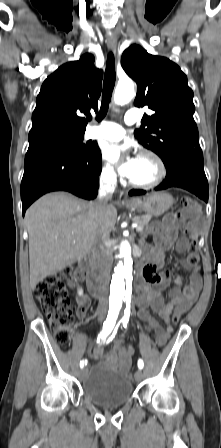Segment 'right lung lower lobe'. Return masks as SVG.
Returning a JSON list of instances; mask_svg holds the SVG:
<instances>
[{
    "label": "right lung lower lobe",
    "mask_w": 221,
    "mask_h": 448,
    "mask_svg": "<svg viewBox=\"0 0 221 448\" xmlns=\"http://www.w3.org/2000/svg\"><path fill=\"white\" fill-rule=\"evenodd\" d=\"M102 169L101 151L81 156L63 148L28 150L21 182L22 213L40 196L51 191H68L94 199Z\"/></svg>",
    "instance_id": "98d812e1"
}]
</instances>
